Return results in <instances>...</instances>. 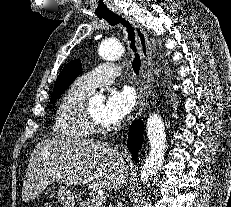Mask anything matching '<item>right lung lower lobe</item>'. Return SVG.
Here are the masks:
<instances>
[{
    "instance_id": "98d812e1",
    "label": "right lung lower lobe",
    "mask_w": 231,
    "mask_h": 207,
    "mask_svg": "<svg viewBox=\"0 0 231 207\" xmlns=\"http://www.w3.org/2000/svg\"><path fill=\"white\" fill-rule=\"evenodd\" d=\"M144 125L141 120H135L132 122L129 135H128V148L132 151V156L137 163V152L142 145V135H143Z\"/></svg>"
}]
</instances>
